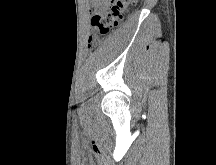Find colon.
I'll return each instance as SVG.
<instances>
[{
    "mask_svg": "<svg viewBox=\"0 0 216 165\" xmlns=\"http://www.w3.org/2000/svg\"><path fill=\"white\" fill-rule=\"evenodd\" d=\"M136 1L108 0L107 9L93 15L91 18V26L95 30V35L91 37V41L106 36L116 28L130 8L136 5Z\"/></svg>",
    "mask_w": 216,
    "mask_h": 165,
    "instance_id": "1",
    "label": "colon"
}]
</instances>
